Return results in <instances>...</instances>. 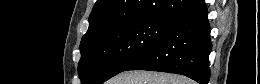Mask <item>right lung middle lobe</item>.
Instances as JSON below:
<instances>
[{
	"instance_id": "1",
	"label": "right lung middle lobe",
	"mask_w": 260,
	"mask_h": 84,
	"mask_svg": "<svg viewBox=\"0 0 260 84\" xmlns=\"http://www.w3.org/2000/svg\"><path fill=\"white\" fill-rule=\"evenodd\" d=\"M171 21L142 19L122 24L80 45L78 74L82 84H101L126 70L166 32Z\"/></svg>"
}]
</instances>
